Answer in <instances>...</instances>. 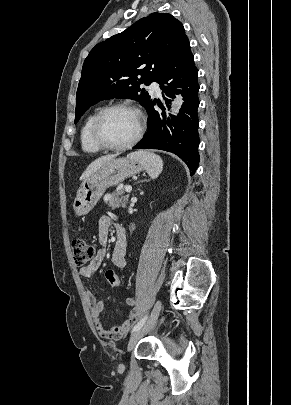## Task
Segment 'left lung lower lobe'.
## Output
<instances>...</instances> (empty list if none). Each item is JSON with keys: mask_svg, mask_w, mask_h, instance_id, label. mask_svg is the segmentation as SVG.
Returning a JSON list of instances; mask_svg holds the SVG:
<instances>
[{"mask_svg": "<svg viewBox=\"0 0 291 405\" xmlns=\"http://www.w3.org/2000/svg\"><path fill=\"white\" fill-rule=\"evenodd\" d=\"M198 70L194 64L188 38H184L174 55L156 78L160 84L165 106H169L174 94L181 93L183 104L177 116L166 117L165 107L158 106L163 112L154 109L156 101L148 104V133L134 146V149H159L178 155L195 174L199 164L198 114L199 106L197 82ZM177 88H182L178 90Z\"/></svg>", "mask_w": 291, "mask_h": 405, "instance_id": "1", "label": "left lung lower lobe"}]
</instances>
